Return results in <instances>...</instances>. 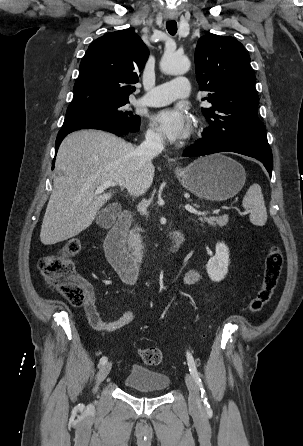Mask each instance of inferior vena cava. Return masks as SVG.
Wrapping results in <instances>:
<instances>
[{
    "label": "inferior vena cava",
    "mask_w": 303,
    "mask_h": 446,
    "mask_svg": "<svg viewBox=\"0 0 303 446\" xmlns=\"http://www.w3.org/2000/svg\"><path fill=\"white\" fill-rule=\"evenodd\" d=\"M163 149V139L155 133H147L145 141L135 149L139 165L143 166L145 163L151 162Z\"/></svg>",
    "instance_id": "inferior-vena-cava-1"
}]
</instances>
